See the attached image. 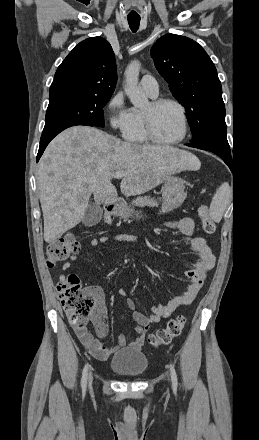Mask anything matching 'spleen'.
I'll use <instances>...</instances> for the list:
<instances>
[{"label": "spleen", "instance_id": "spleen-1", "mask_svg": "<svg viewBox=\"0 0 259 440\" xmlns=\"http://www.w3.org/2000/svg\"><path fill=\"white\" fill-rule=\"evenodd\" d=\"M231 199V188L224 182L216 191L209 209V215L214 222L219 223Z\"/></svg>", "mask_w": 259, "mask_h": 440}]
</instances>
